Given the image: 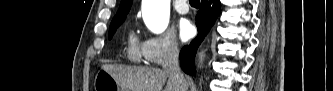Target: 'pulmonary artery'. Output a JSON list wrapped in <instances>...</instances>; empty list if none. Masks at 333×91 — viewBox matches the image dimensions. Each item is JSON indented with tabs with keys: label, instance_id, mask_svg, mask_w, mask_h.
<instances>
[{
	"label": "pulmonary artery",
	"instance_id": "1",
	"mask_svg": "<svg viewBox=\"0 0 333 91\" xmlns=\"http://www.w3.org/2000/svg\"><path fill=\"white\" fill-rule=\"evenodd\" d=\"M174 8L177 13L182 15L187 14L189 11V7L185 0H177L174 4Z\"/></svg>",
	"mask_w": 333,
	"mask_h": 91
}]
</instances>
